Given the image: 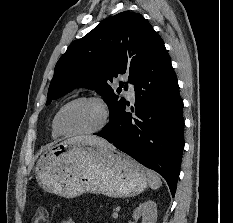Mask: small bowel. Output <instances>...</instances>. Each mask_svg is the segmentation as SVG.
<instances>
[{"instance_id": "1", "label": "small bowel", "mask_w": 233, "mask_h": 223, "mask_svg": "<svg viewBox=\"0 0 233 223\" xmlns=\"http://www.w3.org/2000/svg\"><path fill=\"white\" fill-rule=\"evenodd\" d=\"M61 223H77V221L72 218H66L62 220Z\"/></svg>"}]
</instances>
